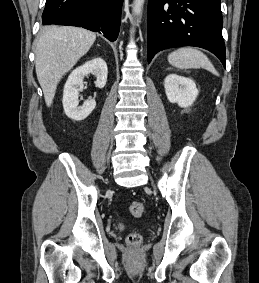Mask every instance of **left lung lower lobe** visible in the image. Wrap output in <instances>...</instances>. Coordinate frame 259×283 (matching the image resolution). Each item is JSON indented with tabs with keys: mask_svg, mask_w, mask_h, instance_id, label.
I'll return each mask as SVG.
<instances>
[{
	"mask_svg": "<svg viewBox=\"0 0 259 283\" xmlns=\"http://www.w3.org/2000/svg\"><path fill=\"white\" fill-rule=\"evenodd\" d=\"M221 0H148V62L166 48L195 46L225 66Z\"/></svg>",
	"mask_w": 259,
	"mask_h": 283,
	"instance_id": "1",
	"label": "left lung lower lobe"
}]
</instances>
